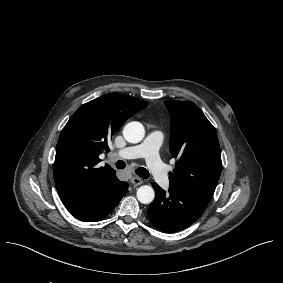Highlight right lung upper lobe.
<instances>
[{"instance_id": "1", "label": "right lung upper lobe", "mask_w": 283, "mask_h": 283, "mask_svg": "<svg viewBox=\"0 0 283 283\" xmlns=\"http://www.w3.org/2000/svg\"><path fill=\"white\" fill-rule=\"evenodd\" d=\"M147 102L110 93L82 105L63 128L56 147L54 180L66 208L93 200L114 186L116 172L97 168L99 155L109 152L108 139Z\"/></svg>"}]
</instances>
